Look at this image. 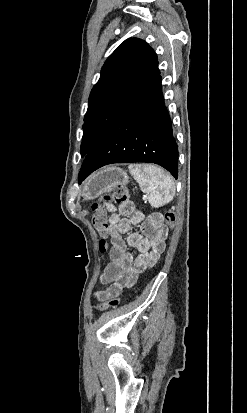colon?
<instances>
[{
	"mask_svg": "<svg viewBox=\"0 0 247 413\" xmlns=\"http://www.w3.org/2000/svg\"><path fill=\"white\" fill-rule=\"evenodd\" d=\"M112 200L115 203H122L124 207H131L133 205V200L128 198V194L126 190L119 186L117 189L113 191L112 194H105L103 195L98 202H95L92 206V222L97 227L96 231L99 233L100 238L106 237V228L108 227L105 211L101 208V202ZM165 223L168 229H172L175 222V214L173 210H168L165 213ZM100 250L105 252L107 250V240L101 239L100 240ZM120 298H107L104 302L100 304L94 305V309L97 312H105L110 309H114L119 305Z\"/></svg>",
	"mask_w": 247,
	"mask_h": 413,
	"instance_id": "colon-1",
	"label": "colon"
}]
</instances>
